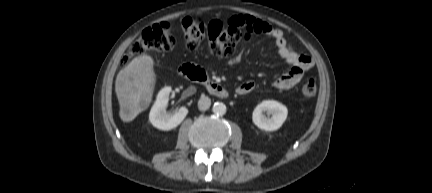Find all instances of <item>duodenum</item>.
Segmentation results:
<instances>
[{
    "label": "duodenum",
    "mask_w": 432,
    "mask_h": 193,
    "mask_svg": "<svg viewBox=\"0 0 432 193\" xmlns=\"http://www.w3.org/2000/svg\"><path fill=\"white\" fill-rule=\"evenodd\" d=\"M179 73L188 80L205 85L207 90L217 98H226L229 95L226 87L210 81L206 72L196 65L184 64L179 68Z\"/></svg>",
    "instance_id": "obj_1"
}]
</instances>
